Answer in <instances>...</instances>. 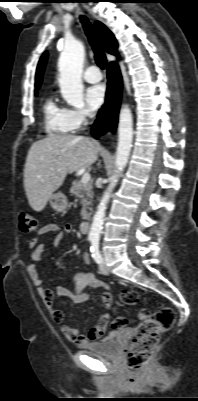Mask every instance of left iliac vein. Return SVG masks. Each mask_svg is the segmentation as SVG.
Here are the masks:
<instances>
[{
	"instance_id": "left-iliac-vein-1",
	"label": "left iliac vein",
	"mask_w": 198,
	"mask_h": 401,
	"mask_svg": "<svg viewBox=\"0 0 198 401\" xmlns=\"http://www.w3.org/2000/svg\"><path fill=\"white\" fill-rule=\"evenodd\" d=\"M99 269L101 271V273H103L104 275H108L109 274V270L106 266L105 260H102V262L99 265Z\"/></svg>"
}]
</instances>
